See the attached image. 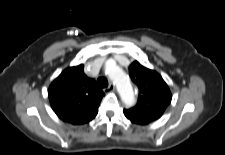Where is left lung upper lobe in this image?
Listing matches in <instances>:
<instances>
[{
  "mask_svg": "<svg viewBox=\"0 0 225 155\" xmlns=\"http://www.w3.org/2000/svg\"><path fill=\"white\" fill-rule=\"evenodd\" d=\"M132 81L139 89L135 107L125 109V116L133 123L147 125L159 119L171 102L170 89L163 78L135 61L129 66Z\"/></svg>",
  "mask_w": 225,
  "mask_h": 155,
  "instance_id": "left-lung-upper-lobe-1",
  "label": "left lung upper lobe"
}]
</instances>
